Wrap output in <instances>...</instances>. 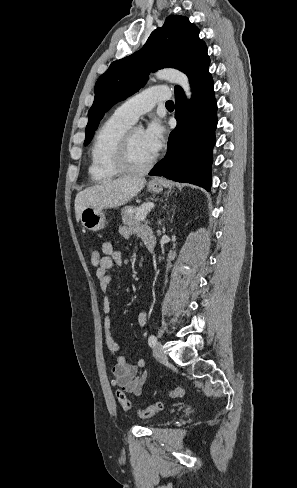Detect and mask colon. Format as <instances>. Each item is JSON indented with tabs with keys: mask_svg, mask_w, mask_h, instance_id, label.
<instances>
[{
	"mask_svg": "<svg viewBox=\"0 0 297 488\" xmlns=\"http://www.w3.org/2000/svg\"><path fill=\"white\" fill-rule=\"evenodd\" d=\"M101 257L102 256L99 253V251H97V250L91 251L90 259H91V263L94 267H97V268L99 267ZM168 394L170 397H173V398H182L184 395V390L182 388H174V389L170 390ZM116 397H117V400H118L120 407L123 410L127 411L131 408V402L123 390H117L116 391ZM163 406H164V402L158 401V402L154 403L153 405H150L144 409H141L139 411V415L141 418H150L154 414H156L158 411L162 410Z\"/></svg>",
	"mask_w": 297,
	"mask_h": 488,
	"instance_id": "1",
	"label": "colon"
}]
</instances>
